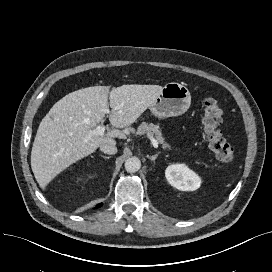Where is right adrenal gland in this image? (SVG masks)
Masks as SVG:
<instances>
[{"label":"right adrenal gland","instance_id":"1","mask_svg":"<svg viewBox=\"0 0 272 272\" xmlns=\"http://www.w3.org/2000/svg\"><path fill=\"white\" fill-rule=\"evenodd\" d=\"M102 158H104V159H109V158H111V156H104V155H100Z\"/></svg>","mask_w":272,"mask_h":272}]
</instances>
